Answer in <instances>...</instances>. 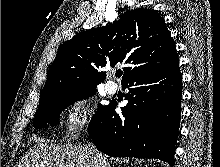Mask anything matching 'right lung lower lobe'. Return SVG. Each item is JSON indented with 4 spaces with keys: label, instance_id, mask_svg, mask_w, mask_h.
<instances>
[{
    "label": "right lung lower lobe",
    "instance_id": "1",
    "mask_svg": "<svg viewBox=\"0 0 220 167\" xmlns=\"http://www.w3.org/2000/svg\"><path fill=\"white\" fill-rule=\"evenodd\" d=\"M122 86L129 89L122 115L115 113L112 101L88 126L95 146L113 157L155 158L172 164L181 118L178 62L136 75Z\"/></svg>",
    "mask_w": 220,
    "mask_h": 167
}]
</instances>
